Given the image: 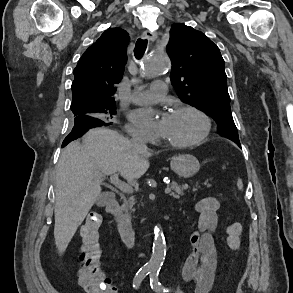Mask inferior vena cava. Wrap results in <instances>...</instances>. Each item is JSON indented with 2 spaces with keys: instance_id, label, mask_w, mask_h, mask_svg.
<instances>
[{
  "instance_id": "inferior-vena-cava-1",
  "label": "inferior vena cava",
  "mask_w": 293,
  "mask_h": 293,
  "mask_svg": "<svg viewBox=\"0 0 293 293\" xmlns=\"http://www.w3.org/2000/svg\"><path fill=\"white\" fill-rule=\"evenodd\" d=\"M131 143L133 144L134 147L139 148V149L147 148L144 140L138 134L132 135Z\"/></svg>"
}]
</instances>
